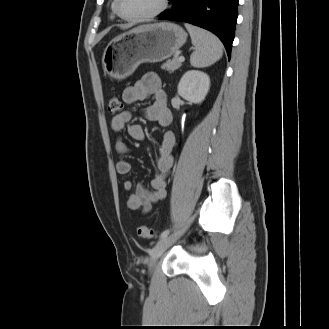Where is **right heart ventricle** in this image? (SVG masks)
Wrapping results in <instances>:
<instances>
[{"mask_svg":"<svg viewBox=\"0 0 329 329\" xmlns=\"http://www.w3.org/2000/svg\"><path fill=\"white\" fill-rule=\"evenodd\" d=\"M114 0L112 2V5H111V14L114 16L115 15V11H114Z\"/></svg>","mask_w":329,"mask_h":329,"instance_id":"e07e8e85","label":"right heart ventricle"}]
</instances>
